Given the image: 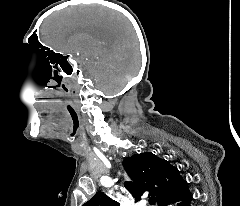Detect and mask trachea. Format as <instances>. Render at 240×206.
Returning a JSON list of instances; mask_svg holds the SVG:
<instances>
[{
  "label": "trachea",
  "instance_id": "3493384b",
  "mask_svg": "<svg viewBox=\"0 0 240 206\" xmlns=\"http://www.w3.org/2000/svg\"><path fill=\"white\" fill-rule=\"evenodd\" d=\"M149 203H150L151 205H154V204H155V198L150 197V198H149Z\"/></svg>",
  "mask_w": 240,
  "mask_h": 206
}]
</instances>
